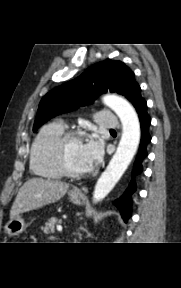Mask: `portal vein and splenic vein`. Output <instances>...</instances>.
Segmentation results:
<instances>
[{
  "mask_svg": "<svg viewBox=\"0 0 181 288\" xmlns=\"http://www.w3.org/2000/svg\"><path fill=\"white\" fill-rule=\"evenodd\" d=\"M57 230L61 232V231H62V227H61V226H58V227H57Z\"/></svg>",
  "mask_w": 181,
  "mask_h": 288,
  "instance_id": "obj_1",
  "label": "portal vein and splenic vein"
}]
</instances>
